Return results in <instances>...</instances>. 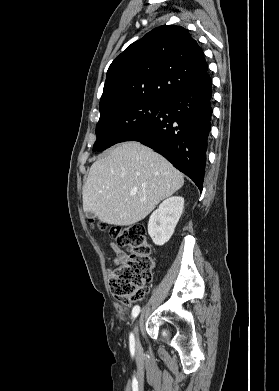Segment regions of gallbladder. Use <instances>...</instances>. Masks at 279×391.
Listing matches in <instances>:
<instances>
[{"label":"gallbladder","mask_w":279,"mask_h":391,"mask_svg":"<svg viewBox=\"0 0 279 391\" xmlns=\"http://www.w3.org/2000/svg\"><path fill=\"white\" fill-rule=\"evenodd\" d=\"M86 216H87L88 218H94V217H95V214H94L93 212H87V213H86Z\"/></svg>","instance_id":"1"}]
</instances>
